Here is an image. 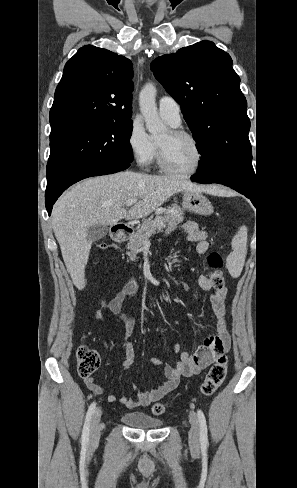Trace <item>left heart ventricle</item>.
Returning a JSON list of instances; mask_svg holds the SVG:
<instances>
[{
    "instance_id": "obj_1",
    "label": "left heart ventricle",
    "mask_w": 297,
    "mask_h": 488,
    "mask_svg": "<svg viewBox=\"0 0 297 488\" xmlns=\"http://www.w3.org/2000/svg\"><path fill=\"white\" fill-rule=\"evenodd\" d=\"M158 142L164 146L167 162L172 168L188 171L195 165L197 151L189 139L173 137L169 131Z\"/></svg>"
}]
</instances>
